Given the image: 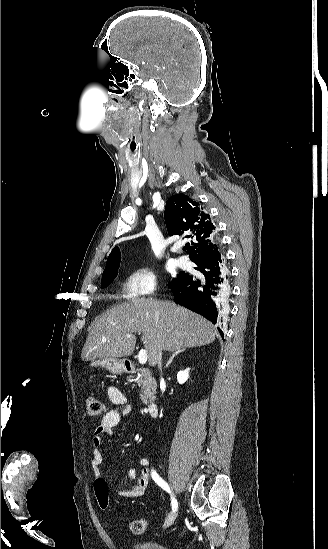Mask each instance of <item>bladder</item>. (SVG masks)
<instances>
[{
  "label": "bladder",
  "instance_id": "1",
  "mask_svg": "<svg viewBox=\"0 0 328 549\" xmlns=\"http://www.w3.org/2000/svg\"><path fill=\"white\" fill-rule=\"evenodd\" d=\"M136 549H171L168 546H165L156 541H147V542H136L134 543Z\"/></svg>",
  "mask_w": 328,
  "mask_h": 549
}]
</instances>
